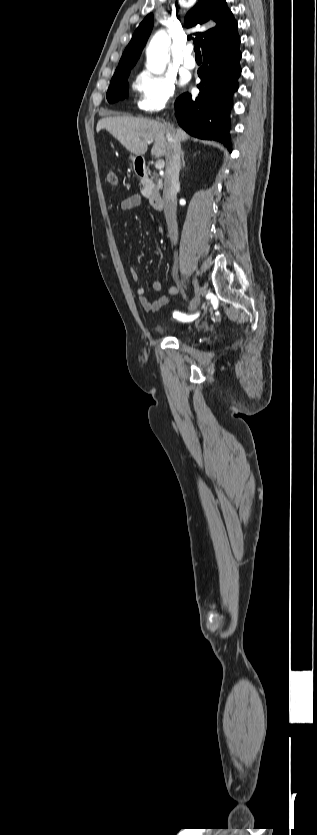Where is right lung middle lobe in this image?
<instances>
[{"label":"right lung middle lobe","instance_id":"dd1d6c3e","mask_svg":"<svg viewBox=\"0 0 317 835\" xmlns=\"http://www.w3.org/2000/svg\"><path fill=\"white\" fill-rule=\"evenodd\" d=\"M131 69H126L122 71H115L114 76L111 79L110 86L107 91V100L110 103H114L118 100H122L128 95V82L127 78L129 77Z\"/></svg>","mask_w":317,"mask_h":835}]
</instances>
